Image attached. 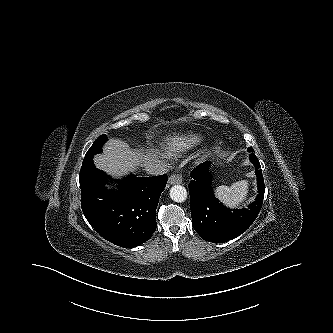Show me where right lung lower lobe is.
I'll return each mask as SVG.
<instances>
[{
    "instance_id": "obj_1",
    "label": "right lung lower lobe",
    "mask_w": 333,
    "mask_h": 333,
    "mask_svg": "<svg viewBox=\"0 0 333 333\" xmlns=\"http://www.w3.org/2000/svg\"><path fill=\"white\" fill-rule=\"evenodd\" d=\"M108 175L95 168L80 173L81 206L90 225L104 239L124 247L148 241L157 224L155 212L167 175L129 177L119 181L118 190L104 186Z\"/></svg>"
}]
</instances>
